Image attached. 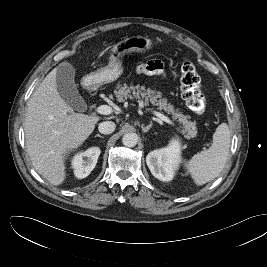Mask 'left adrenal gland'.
<instances>
[{
    "instance_id": "1",
    "label": "left adrenal gland",
    "mask_w": 267,
    "mask_h": 267,
    "mask_svg": "<svg viewBox=\"0 0 267 267\" xmlns=\"http://www.w3.org/2000/svg\"><path fill=\"white\" fill-rule=\"evenodd\" d=\"M151 127H152L151 123L149 125H147L146 127L143 124L141 125V128H142L144 133L148 132Z\"/></svg>"
}]
</instances>
